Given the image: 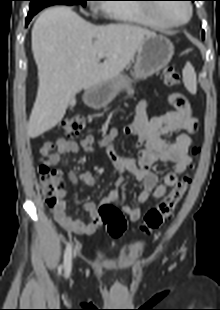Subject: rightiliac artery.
<instances>
[{
    "mask_svg": "<svg viewBox=\"0 0 220 310\" xmlns=\"http://www.w3.org/2000/svg\"><path fill=\"white\" fill-rule=\"evenodd\" d=\"M71 262H72V246L71 244H68L64 252V267H65V272L67 274L71 270Z\"/></svg>",
    "mask_w": 220,
    "mask_h": 310,
    "instance_id": "obj_1",
    "label": "right iliac artery"
}]
</instances>
